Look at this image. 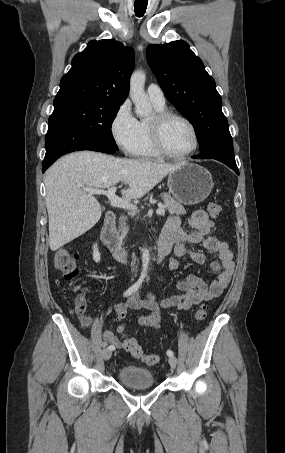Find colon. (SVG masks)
<instances>
[{
	"instance_id": "obj_1",
	"label": "colon",
	"mask_w": 285,
	"mask_h": 453,
	"mask_svg": "<svg viewBox=\"0 0 285 453\" xmlns=\"http://www.w3.org/2000/svg\"><path fill=\"white\" fill-rule=\"evenodd\" d=\"M207 210L212 217H217L221 213L222 207L216 202H208ZM53 265L57 270L64 273V277L68 281L74 280L79 274L78 255L69 249H59L54 255ZM207 312L208 307L201 305L195 312L196 321H203L207 316ZM124 349L135 358L141 359L147 365L152 366L159 362V356L156 354H145L134 337L124 336Z\"/></svg>"
}]
</instances>
